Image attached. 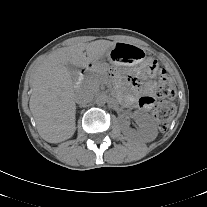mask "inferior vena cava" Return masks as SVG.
Here are the masks:
<instances>
[{
    "label": "inferior vena cava",
    "mask_w": 207,
    "mask_h": 207,
    "mask_svg": "<svg viewBox=\"0 0 207 207\" xmlns=\"http://www.w3.org/2000/svg\"><path fill=\"white\" fill-rule=\"evenodd\" d=\"M94 98L93 93L88 89H80L76 92L75 102L80 106L90 103Z\"/></svg>",
    "instance_id": "inferior-vena-cava-1"
}]
</instances>
